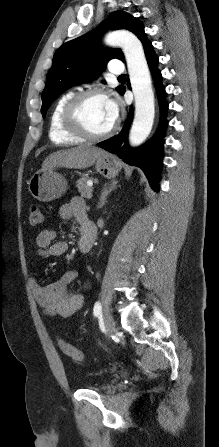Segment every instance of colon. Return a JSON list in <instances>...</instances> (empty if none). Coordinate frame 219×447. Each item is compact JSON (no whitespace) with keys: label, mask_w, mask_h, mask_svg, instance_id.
I'll return each instance as SVG.
<instances>
[{"label":"colon","mask_w":219,"mask_h":447,"mask_svg":"<svg viewBox=\"0 0 219 447\" xmlns=\"http://www.w3.org/2000/svg\"><path fill=\"white\" fill-rule=\"evenodd\" d=\"M42 222V212L37 204H31L29 207V224L32 227H36L40 225ZM58 346L61 349V351L70 359L76 362H81L84 360V355L82 351H80L75 346L71 345L70 343L58 339Z\"/></svg>","instance_id":"obj_1"}]
</instances>
